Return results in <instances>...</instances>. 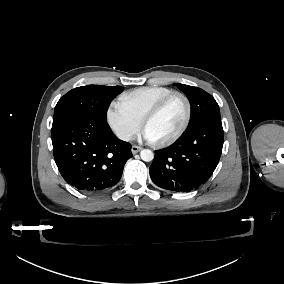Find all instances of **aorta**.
<instances>
[{
  "label": "aorta",
  "mask_w": 284,
  "mask_h": 284,
  "mask_svg": "<svg viewBox=\"0 0 284 284\" xmlns=\"http://www.w3.org/2000/svg\"><path fill=\"white\" fill-rule=\"evenodd\" d=\"M140 156H141V159L145 162H150L154 159V154L151 150L149 149H143L141 152H140Z\"/></svg>",
  "instance_id": "obj_1"
}]
</instances>
